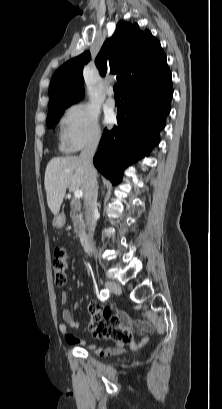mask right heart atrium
<instances>
[{"label": "right heart atrium", "mask_w": 222, "mask_h": 409, "mask_svg": "<svg viewBox=\"0 0 222 409\" xmlns=\"http://www.w3.org/2000/svg\"><path fill=\"white\" fill-rule=\"evenodd\" d=\"M102 130L97 113L86 104L69 107L60 121V139L64 150L77 151L99 143Z\"/></svg>", "instance_id": "obj_1"}]
</instances>
